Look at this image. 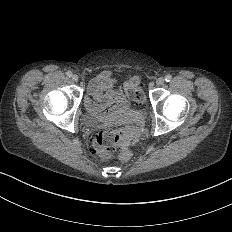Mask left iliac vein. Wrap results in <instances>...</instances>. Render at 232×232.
Returning <instances> with one entry per match:
<instances>
[{"label":"left iliac vein","mask_w":232,"mask_h":232,"mask_svg":"<svg viewBox=\"0 0 232 232\" xmlns=\"http://www.w3.org/2000/svg\"><path fill=\"white\" fill-rule=\"evenodd\" d=\"M164 83H165V78L164 77H159L158 79L155 80V85L156 86H161Z\"/></svg>","instance_id":"1"}]
</instances>
